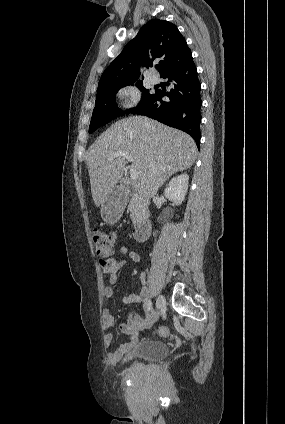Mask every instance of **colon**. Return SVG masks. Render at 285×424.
<instances>
[{
	"label": "colon",
	"mask_w": 285,
	"mask_h": 424,
	"mask_svg": "<svg viewBox=\"0 0 285 424\" xmlns=\"http://www.w3.org/2000/svg\"><path fill=\"white\" fill-rule=\"evenodd\" d=\"M115 241V235L113 232L95 229L92 235V243L96 255L99 257L104 268L112 270L115 267V263L112 261L113 245ZM168 329L161 327L158 330L159 335H166Z\"/></svg>",
	"instance_id": "5ec220e1"
}]
</instances>
